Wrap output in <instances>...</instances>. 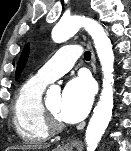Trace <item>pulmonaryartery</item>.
<instances>
[{"label": "pulmonary artery", "instance_id": "obj_1", "mask_svg": "<svg viewBox=\"0 0 131 151\" xmlns=\"http://www.w3.org/2000/svg\"><path fill=\"white\" fill-rule=\"evenodd\" d=\"M81 55L79 45L70 44L61 47L35 75L44 82L50 83L67 73Z\"/></svg>", "mask_w": 131, "mask_h": 151}]
</instances>
